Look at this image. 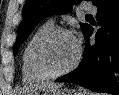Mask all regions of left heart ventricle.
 <instances>
[{
	"mask_svg": "<svg viewBox=\"0 0 119 95\" xmlns=\"http://www.w3.org/2000/svg\"><path fill=\"white\" fill-rule=\"evenodd\" d=\"M77 43L73 36L60 34L44 48L42 60L51 71H59L69 66L76 57Z\"/></svg>",
	"mask_w": 119,
	"mask_h": 95,
	"instance_id": "left-heart-ventricle-1",
	"label": "left heart ventricle"
}]
</instances>
